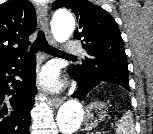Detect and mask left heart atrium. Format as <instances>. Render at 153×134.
I'll return each mask as SVG.
<instances>
[{
  "instance_id": "39dd6f15",
  "label": "left heart atrium",
  "mask_w": 153,
  "mask_h": 134,
  "mask_svg": "<svg viewBox=\"0 0 153 134\" xmlns=\"http://www.w3.org/2000/svg\"><path fill=\"white\" fill-rule=\"evenodd\" d=\"M40 82L51 91H56L61 87V82L58 79L57 73L52 68H46L43 70L40 76Z\"/></svg>"
}]
</instances>
